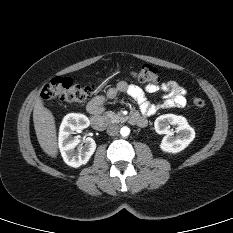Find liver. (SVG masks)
I'll return each instance as SVG.
<instances>
[{
    "instance_id": "6515ba94",
    "label": "liver",
    "mask_w": 233,
    "mask_h": 233,
    "mask_svg": "<svg viewBox=\"0 0 233 233\" xmlns=\"http://www.w3.org/2000/svg\"><path fill=\"white\" fill-rule=\"evenodd\" d=\"M33 122L40 147L47 155L56 158L58 144L54 116L49 109L44 107L40 97L36 99L34 105Z\"/></svg>"
}]
</instances>
